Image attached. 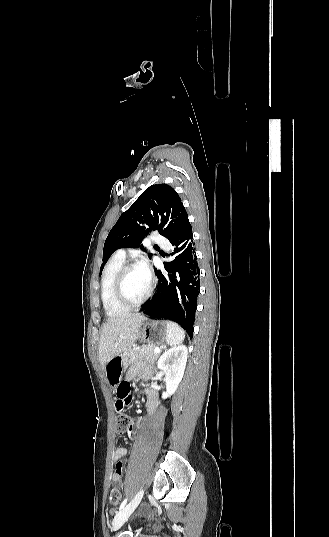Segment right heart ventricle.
<instances>
[{"mask_svg": "<svg viewBox=\"0 0 329 537\" xmlns=\"http://www.w3.org/2000/svg\"><path fill=\"white\" fill-rule=\"evenodd\" d=\"M125 260L113 256L107 263L101 277V301L108 316L115 317L126 314L129 309L122 306L115 294V282L117 274L124 265Z\"/></svg>", "mask_w": 329, "mask_h": 537, "instance_id": "right-heart-ventricle-1", "label": "right heart ventricle"}]
</instances>
